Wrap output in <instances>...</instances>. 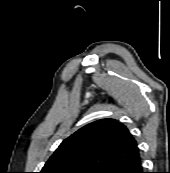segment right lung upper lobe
<instances>
[{
    "mask_svg": "<svg viewBox=\"0 0 170 173\" xmlns=\"http://www.w3.org/2000/svg\"><path fill=\"white\" fill-rule=\"evenodd\" d=\"M138 153L137 143L125 125L115 119H101L65 139L40 173H102Z\"/></svg>",
    "mask_w": 170,
    "mask_h": 173,
    "instance_id": "1",
    "label": "right lung upper lobe"
}]
</instances>
